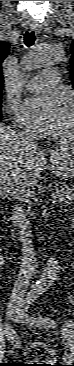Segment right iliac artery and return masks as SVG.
<instances>
[{
	"label": "right iliac artery",
	"mask_w": 74,
	"mask_h": 366,
	"mask_svg": "<svg viewBox=\"0 0 74 366\" xmlns=\"http://www.w3.org/2000/svg\"><path fill=\"white\" fill-rule=\"evenodd\" d=\"M4 333L7 334L6 336H8L10 342L12 344H14V342H15V338H14L15 332H14V330L11 329L9 326H6L5 329H4Z\"/></svg>",
	"instance_id": "82829eb1"
}]
</instances>
